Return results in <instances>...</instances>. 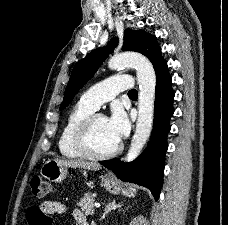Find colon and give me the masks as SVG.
Returning a JSON list of instances; mask_svg holds the SVG:
<instances>
[{"label":"colon","instance_id":"1","mask_svg":"<svg viewBox=\"0 0 228 225\" xmlns=\"http://www.w3.org/2000/svg\"><path fill=\"white\" fill-rule=\"evenodd\" d=\"M49 183L41 176H34L30 183V192L34 201H40L43 197L48 195L50 188Z\"/></svg>","mask_w":228,"mask_h":225}]
</instances>
